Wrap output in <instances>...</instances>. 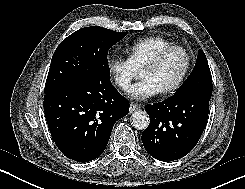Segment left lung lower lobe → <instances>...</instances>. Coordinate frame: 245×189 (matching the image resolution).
Masks as SVG:
<instances>
[{
  "mask_svg": "<svg viewBox=\"0 0 245 189\" xmlns=\"http://www.w3.org/2000/svg\"><path fill=\"white\" fill-rule=\"evenodd\" d=\"M210 98L209 94L188 91L147 105L150 124L142 134L146 151L160 161H173L188 154L206 126Z\"/></svg>",
  "mask_w": 245,
  "mask_h": 189,
  "instance_id": "0a47b994",
  "label": "left lung lower lobe"
}]
</instances>
